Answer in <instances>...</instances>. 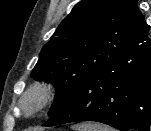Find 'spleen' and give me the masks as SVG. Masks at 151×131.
<instances>
[{
	"label": "spleen",
	"mask_w": 151,
	"mask_h": 131,
	"mask_svg": "<svg viewBox=\"0 0 151 131\" xmlns=\"http://www.w3.org/2000/svg\"><path fill=\"white\" fill-rule=\"evenodd\" d=\"M74 131H115L113 128L99 123H81L72 126Z\"/></svg>",
	"instance_id": "3e777b00"
}]
</instances>
